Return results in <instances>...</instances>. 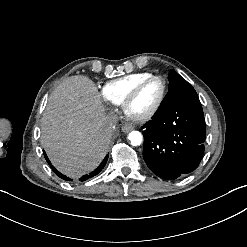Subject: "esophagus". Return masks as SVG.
Wrapping results in <instances>:
<instances>
[{"instance_id": "esophagus-1", "label": "esophagus", "mask_w": 247, "mask_h": 247, "mask_svg": "<svg viewBox=\"0 0 247 247\" xmlns=\"http://www.w3.org/2000/svg\"><path fill=\"white\" fill-rule=\"evenodd\" d=\"M134 129L133 125H131L130 123H125L122 125L121 130L123 133H129L130 131H132Z\"/></svg>"}]
</instances>
